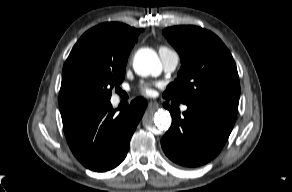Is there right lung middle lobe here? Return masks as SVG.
I'll return each mask as SVG.
<instances>
[{
  "mask_svg": "<svg viewBox=\"0 0 292 192\" xmlns=\"http://www.w3.org/2000/svg\"><path fill=\"white\" fill-rule=\"evenodd\" d=\"M126 62L108 52L95 36L84 34L64 64L59 97L110 100L112 89L124 80Z\"/></svg>",
  "mask_w": 292,
  "mask_h": 192,
  "instance_id": "dd1d6c3e",
  "label": "right lung middle lobe"
}]
</instances>
